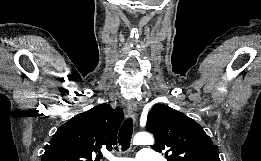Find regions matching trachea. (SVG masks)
<instances>
[{
  "instance_id": "3493384b",
  "label": "trachea",
  "mask_w": 261,
  "mask_h": 161,
  "mask_svg": "<svg viewBox=\"0 0 261 161\" xmlns=\"http://www.w3.org/2000/svg\"><path fill=\"white\" fill-rule=\"evenodd\" d=\"M132 133H133V120L132 118H128L123 122L118 136L119 145H121L123 151L129 149Z\"/></svg>"
}]
</instances>
